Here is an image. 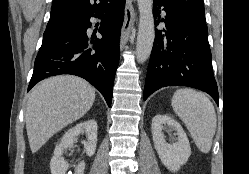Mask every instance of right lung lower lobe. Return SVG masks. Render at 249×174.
<instances>
[{
  "mask_svg": "<svg viewBox=\"0 0 249 174\" xmlns=\"http://www.w3.org/2000/svg\"><path fill=\"white\" fill-rule=\"evenodd\" d=\"M125 0H114L103 12L66 20L53 27L43 38L35 59L28 91L39 81L54 75L72 74L90 82L111 106L113 83L119 62L120 29L124 19ZM102 19L101 39L91 41L86 34L90 17Z\"/></svg>",
  "mask_w": 249,
  "mask_h": 174,
  "instance_id": "98d812e1",
  "label": "right lung lower lobe"
}]
</instances>
